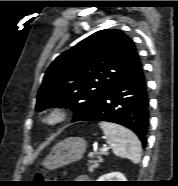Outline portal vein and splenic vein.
Listing matches in <instances>:
<instances>
[{
	"instance_id": "obj_1",
	"label": "portal vein and splenic vein",
	"mask_w": 178,
	"mask_h": 186,
	"mask_svg": "<svg viewBox=\"0 0 178 186\" xmlns=\"http://www.w3.org/2000/svg\"><path fill=\"white\" fill-rule=\"evenodd\" d=\"M109 150V147H103L102 149H101V153H105V152H107Z\"/></svg>"
}]
</instances>
